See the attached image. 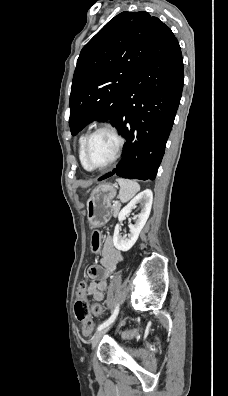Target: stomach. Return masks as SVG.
Masks as SVG:
<instances>
[{"mask_svg": "<svg viewBox=\"0 0 228 396\" xmlns=\"http://www.w3.org/2000/svg\"><path fill=\"white\" fill-rule=\"evenodd\" d=\"M116 196L112 184H102L94 188L87 200V218L92 227H101L111 217V201Z\"/></svg>", "mask_w": 228, "mask_h": 396, "instance_id": "obj_1", "label": "stomach"}]
</instances>
